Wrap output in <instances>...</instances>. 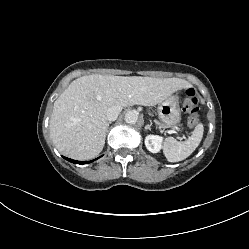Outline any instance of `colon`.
<instances>
[{
  "instance_id": "colon-1",
  "label": "colon",
  "mask_w": 249,
  "mask_h": 249,
  "mask_svg": "<svg viewBox=\"0 0 249 249\" xmlns=\"http://www.w3.org/2000/svg\"><path fill=\"white\" fill-rule=\"evenodd\" d=\"M183 109L189 113L188 125L194 127L199 120L200 99L196 91L192 88L186 90V99Z\"/></svg>"
}]
</instances>
